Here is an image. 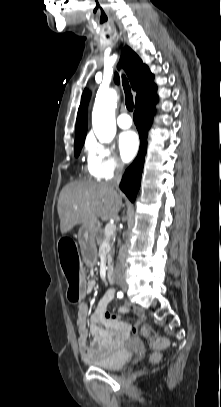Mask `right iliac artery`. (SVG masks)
Segmentation results:
<instances>
[{
	"instance_id": "right-iliac-artery-1",
	"label": "right iliac artery",
	"mask_w": 221,
	"mask_h": 407,
	"mask_svg": "<svg viewBox=\"0 0 221 407\" xmlns=\"http://www.w3.org/2000/svg\"><path fill=\"white\" fill-rule=\"evenodd\" d=\"M123 296V293L122 292H118L117 293V297H122Z\"/></svg>"
}]
</instances>
